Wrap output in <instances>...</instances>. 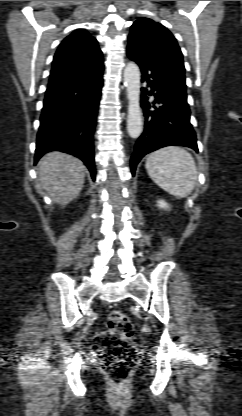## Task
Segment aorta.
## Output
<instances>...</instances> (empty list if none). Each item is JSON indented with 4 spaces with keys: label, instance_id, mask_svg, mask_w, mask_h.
<instances>
[{
    "label": "aorta",
    "instance_id": "obj_1",
    "mask_svg": "<svg viewBox=\"0 0 242 416\" xmlns=\"http://www.w3.org/2000/svg\"><path fill=\"white\" fill-rule=\"evenodd\" d=\"M124 85L128 98L127 131L131 138H138L143 130L140 108V69L129 62L124 69Z\"/></svg>",
    "mask_w": 242,
    "mask_h": 416
}]
</instances>
